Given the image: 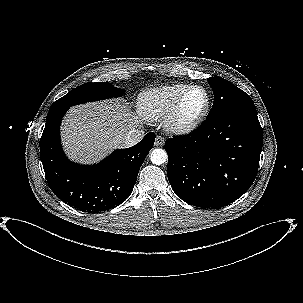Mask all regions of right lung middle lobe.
<instances>
[{
  "mask_svg": "<svg viewBox=\"0 0 303 303\" xmlns=\"http://www.w3.org/2000/svg\"><path fill=\"white\" fill-rule=\"evenodd\" d=\"M124 94V90L116 88L108 82H95L80 85L62 98L55 101L50 109L69 108L70 106L97 101L112 97H119Z\"/></svg>",
  "mask_w": 303,
  "mask_h": 303,
  "instance_id": "1",
  "label": "right lung middle lobe"
}]
</instances>
